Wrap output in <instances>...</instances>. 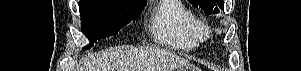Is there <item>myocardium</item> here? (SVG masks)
Returning a JSON list of instances; mask_svg holds the SVG:
<instances>
[{"instance_id": "obj_1", "label": "myocardium", "mask_w": 301, "mask_h": 71, "mask_svg": "<svg viewBox=\"0 0 301 71\" xmlns=\"http://www.w3.org/2000/svg\"><path fill=\"white\" fill-rule=\"evenodd\" d=\"M196 32L201 41L207 40L211 35L209 27L200 21L196 22Z\"/></svg>"}]
</instances>
